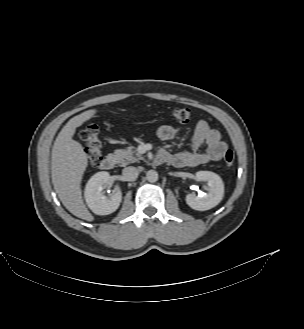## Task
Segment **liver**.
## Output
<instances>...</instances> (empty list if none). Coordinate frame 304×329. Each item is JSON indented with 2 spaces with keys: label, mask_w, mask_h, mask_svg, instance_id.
Masks as SVG:
<instances>
[{
  "label": "liver",
  "mask_w": 304,
  "mask_h": 329,
  "mask_svg": "<svg viewBox=\"0 0 304 329\" xmlns=\"http://www.w3.org/2000/svg\"><path fill=\"white\" fill-rule=\"evenodd\" d=\"M96 109L71 118L58 134L51 157L52 183L66 209L78 218L93 221L94 217L83 202L81 181L87 168V155L82 145L72 137L77 127L90 120Z\"/></svg>",
  "instance_id": "liver-1"
}]
</instances>
